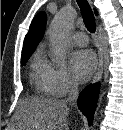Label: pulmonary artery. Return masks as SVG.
I'll return each mask as SVG.
<instances>
[{
  "label": "pulmonary artery",
  "instance_id": "e3ab8cb5",
  "mask_svg": "<svg viewBox=\"0 0 123 130\" xmlns=\"http://www.w3.org/2000/svg\"><path fill=\"white\" fill-rule=\"evenodd\" d=\"M72 40L79 46L88 44V37L84 32L77 31L72 35Z\"/></svg>",
  "mask_w": 123,
  "mask_h": 130
}]
</instances>
